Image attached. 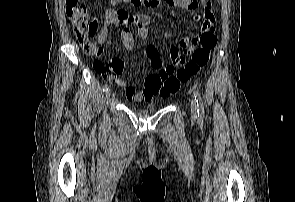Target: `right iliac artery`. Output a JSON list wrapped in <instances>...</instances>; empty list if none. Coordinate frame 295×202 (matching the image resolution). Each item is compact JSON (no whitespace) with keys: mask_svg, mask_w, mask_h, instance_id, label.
Returning a JSON list of instances; mask_svg holds the SVG:
<instances>
[{"mask_svg":"<svg viewBox=\"0 0 295 202\" xmlns=\"http://www.w3.org/2000/svg\"><path fill=\"white\" fill-rule=\"evenodd\" d=\"M102 89H103L104 92H106L108 90V85L104 84Z\"/></svg>","mask_w":295,"mask_h":202,"instance_id":"82829eb1","label":"right iliac artery"}]
</instances>
